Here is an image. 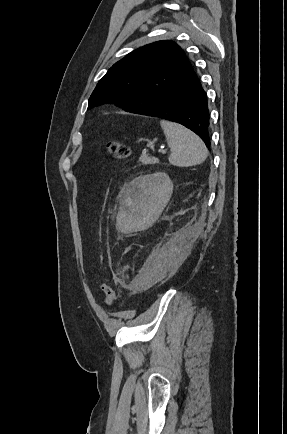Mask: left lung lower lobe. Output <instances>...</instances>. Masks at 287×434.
I'll list each match as a JSON object with an SVG mask.
<instances>
[{
    "label": "left lung lower lobe",
    "mask_w": 287,
    "mask_h": 434,
    "mask_svg": "<svg viewBox=\"0 0 287 434\" xmlns=\"http://www.w3.org/2000/svg\"><path fill=\"white\" fill-rule=\"evenodd\" d=\"M137 114L180 123L199 135L210 148L207 95L194 70L155 105Z\"/></svg>",
    "instance_id": "0a47b994"
}]
</instances>
